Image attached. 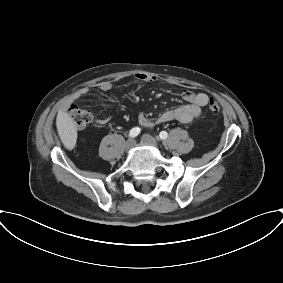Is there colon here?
Returning <instances> with one entry per match:
<instances>
[{"label": "colon", "instance_id": "colon-1", "mask_svg": "<svg viewBox=\"0 0 283 283\" xmlns=\"http://www.w3.org/2000/svg\"><path fill=\"white\" fill-rule=\"evenodd\" d=\"M208 109L212 114H218L220 111V106L218 102L211 98L208 101ZM67 118L75 125L77 129H84L92 122V114L82 108L75 105L70 106L66 110Z\"/></svg>", "mask_w": 283, "mask_h": 283}]
</instances>
